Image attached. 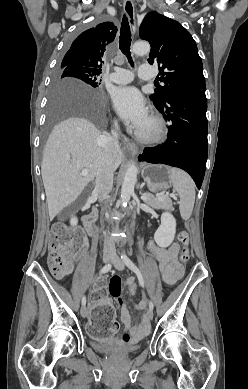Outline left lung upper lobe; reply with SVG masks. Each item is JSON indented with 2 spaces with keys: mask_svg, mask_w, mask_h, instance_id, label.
Returning <instances> with one entry per match:
<instances>
[{
  "mask_svg": "<svg viewBox=\"0 0 248 389\" xmlns=\"http://www.w3.org/2000/svg\"><path fill=\"white\" fill-rule=\"evenodd\" d=\"M140 37L151 45L148 62L158 64L160 81L150 99L161 106L179 88L204 82L203 65L190 33L177 21L157 12L148 13L140 26Z\"/></svg>",
  "mask_w": 248,
  "mask_h": 389,
  "instance_id": "left-lung-upper-lobe-1",
  "label": "left lung upper lobe"
}]
</instances>
